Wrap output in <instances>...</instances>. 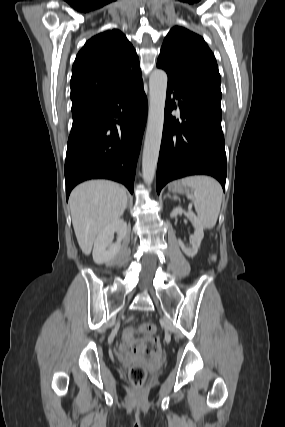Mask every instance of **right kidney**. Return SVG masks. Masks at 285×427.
I'll return each mask as SVG.
<instances>
[{
	"label": "right kidney",
	"mask_w": 285,
	"mask_h": 427,
	"mask_svg": "<svg viewBox=\"0 0 285 427\" xmlns=\"http://www.w3.org/2000/svg\"><path fill=\"white\" fill-rule=\"evenodd\" d=\"M117 233V242L112 244L109 237ZM127 233V223L123 219H118L105 228L97 235L94 241L93 260L96 264H107L112 262L121 249V241Z\"/></svg>",
	"instance_id": "right-kidney-1"
}]
</instances>
